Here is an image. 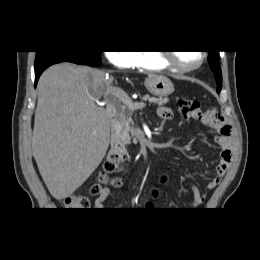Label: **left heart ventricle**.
I'll return each mask as SVG.
<instances>
[{
    "label": "left heart ventricle",
    "instance_id": "b2bd125f",
    "mask_svg": "<svg viewBox=\"0 0 260 260\" xmlns=\"http://www.w3.org/2000/svg\"><path fill=\"white\" fill-rule=\"evenodd\" d=\"M176 60L184 65H193L200 60L198 51H179L175 53Z\"/></svg>",
    "mask_w": 260,
    "mask_h": 260
}]
</instances>
